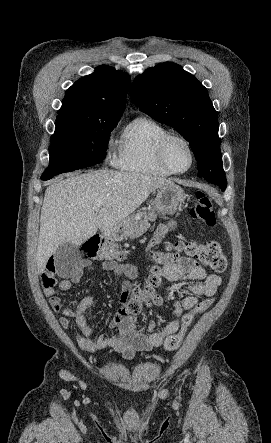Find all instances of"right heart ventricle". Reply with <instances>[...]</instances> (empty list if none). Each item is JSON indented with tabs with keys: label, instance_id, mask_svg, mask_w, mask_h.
<instances>
[{
	"label": "right heart ventricle",
	"instance_id": "right-heart-ventricle-1",
	"mask_svg": "<svg viewBox=\"0 0 271 443\" xmlns=\"http://www.w3.org/2000/svg\"><path fill=\"white\" fill-rule=\"evenodd\" d=\"M169 133L160 122L148 115L134 117L124 128L116 166L122 170L168 177L169 172L157 156L158 142Z\"/></svg>",
	"mask_w": 271,
	"mask_h": 443
}]
</instances>
